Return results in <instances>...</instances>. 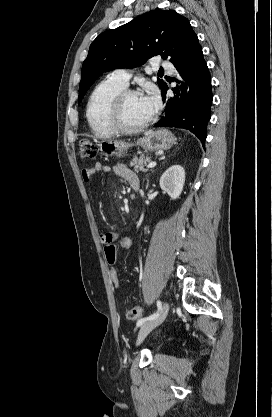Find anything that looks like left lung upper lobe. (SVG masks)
<instances>
[{
	"mask_svg": "<svg viewBox=\"0 0 272 417\" xmlns=\"http://www.w3.org/2000/svg\"><path fill=\"white\" fill-rule=\"evenodd\" d=\"M200 46L189 21L173 10H152L116 29L101 33L82 66L78 102L104 72L134 68L161 55L178 63ZM163 89L166 83L158 79Z\"/></svg>",
	"mask_w": 272,
	"mask_h": 417,
	"instance_id": "left-lung-upper-lobe-1",
	"label": "left lung upper lobe"
}]
</instances>
